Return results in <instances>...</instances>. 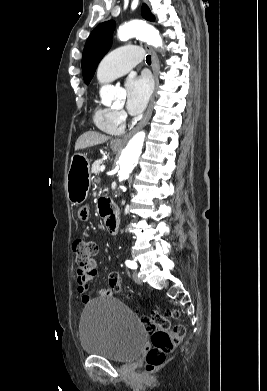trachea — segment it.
Here are the masks:
<instances>
[{
  "mask_svg": "<svg viewBox=\"0 0 267 391\" xmlns=\"http://www.w3.org/2000/svg\"><path fill=\"white\" fill-rule=\"evenodd\" d=\"M146 63H147V64H151V57H150V55H148V56L146 57Z\"/></svg>",
  "mask_w": 267,
  "mask_h": 391,
  "instance_id": "1",
  "label": "trachea"
}]
</instances>
